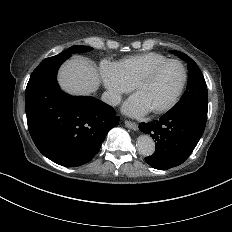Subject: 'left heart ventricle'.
Wrapping results in <instances>:
<instances>
[{"mask_svg": "<svg viewBox=\"0 0 232 232\" xmlns=\"http://www.w3.org/2000/svg\"><path fill=\"white\" fill-rule=\"evenodd\" d=\"M183 80V73L179 65L170 63L162 67L151 79L143 82L136 93L151 108L157 110L168 104Z\"/></svg>", "mask_w": 232, "mask_h": 232, "instance_id": "obj_1", "label": "left heart ventricle"}]
</instances>
